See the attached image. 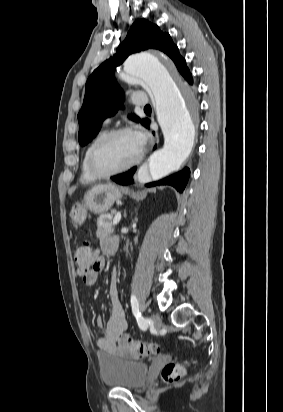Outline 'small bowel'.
<instances>
[{
  "instance_id": "small-bowel-1",
  "label": "small bowel",
  "mask_w": 283,
  "mask_h": 412,
  "mask_svg": "<svg viewBox=\"0 0 283 412\" xmlns=\"http://www.w3.org/2000/svg\"><path fill=\"white\" fill-rule=\"evenodd\" d=\"M117 240L114 238H102L101 239V249L104 254H112L110 252V247L112 244L116 243ZM100 263L95 268H92L86 275H84V282L87 285H94L99 277V273L104 266V260L99 255ZM110 302L111 310L110 316L106 324L105 334L98 338L97 346L100 356H113V357H124L126 354L117 347L118 338L127 329V319L126 314L119 297V280L117 270H113L110 280ZM96 325L98 327H103V320L101 318L96 319Z\"/></svg>"
}]
</instances>
